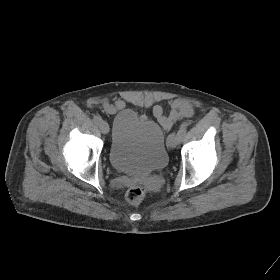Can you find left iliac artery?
Listing matches in <instances>:
<instances>
[{
  "mask_svg": "<svg viewBox=\"0 0 280 280\" xmlns=\"http://www.w3.org/2000/svg\"><path fill=\"white\" fill-rule=\"evenodd\" d=\"M186 132H187V125L185 123H183L180 126L177 134L180 136V138H182L186 134Z\"/></svg>",
  "mask_w": 280,
  "mask_h": 280,
  "instance_id": "44dca946",
  "label": "left iliac artery"
}]
</instances>
